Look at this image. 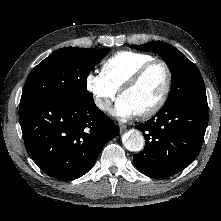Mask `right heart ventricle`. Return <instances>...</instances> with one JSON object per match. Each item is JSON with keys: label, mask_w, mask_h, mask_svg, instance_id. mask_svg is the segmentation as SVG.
I'll return each mask as SVG.
<instances>
[{"label": "right heart ventricle", "mask_w": 221, "mask_h": 221, "mask_svg": "<svg viewBox=\"0 0 221 221\" xmlns=\"http://www.w3.org/2000/svg\"><path fill=\"white\" fill-rule=\"evenodd\" d=\"M153 59L152 55L142 52H117L103 62L102 73L118 90L140 66Z\"/></svg>", "instance_id": "right-heart-ventricle-1"}]
</instances>
